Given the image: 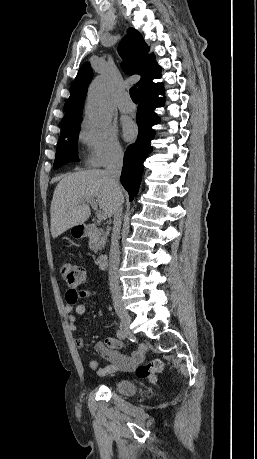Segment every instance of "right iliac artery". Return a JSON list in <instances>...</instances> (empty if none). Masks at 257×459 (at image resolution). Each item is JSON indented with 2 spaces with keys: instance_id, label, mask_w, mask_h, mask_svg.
<instances>
[{
  "instance_id": "obj_1",
  "label": "right iliac artery",
  "mask_w": 257,
  "mask_h": 459,
  "mask_svg": "<svg viewBox=\"0 0 257 459\" xmlns=\"http://www.w3.org/2000/svg\"><path fill=\"white\" fill-rule=\"evenodd\" d=\"M117 337L119 339H121V340H124L127 337V333L125 332L124 329L121 328V329L117 330Z\"/></svg>"
}]
</instances>
